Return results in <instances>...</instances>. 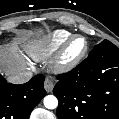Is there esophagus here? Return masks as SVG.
Instances as JSON below:
<instances>
[{"label": "esophagus", "mask_w": 119, "mask_h": 119, "mask_svg": "<svg viewBox=\"0 0 119 119\" xmlns=\"http://www.w3.org/2000/svg\"><path fill=\"white\" fill-rule=\"evenodd\" d=\"M44 88L48 93L52 92V90L54 88V82H53V80L51 78L47 77L45 79Z\"/></svg>", "instance_id": "1"}]
</instances>
